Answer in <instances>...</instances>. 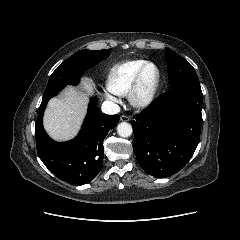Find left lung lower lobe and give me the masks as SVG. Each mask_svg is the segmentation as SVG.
I'll use <instances>...</instances> for the list:
<instances>
[{
	"instance_id": "left-lung-lower-lobe-1",
	"label": "left lung lower lobe",
	"mask_w": 240,
	"mask_h": 240,
	"mask_svg": "<svg viewBox=\"0 0 240 240\" xmlns=\"http://www.w3.org/2000/svg\"><path fill=\"white\" fill-rule=\"evenodd\" d=\"M202 98L200 85H178L134 117L133 150L147 174L167 177L190 160L200 140Z\"/></svg>"
}]
</instances>
